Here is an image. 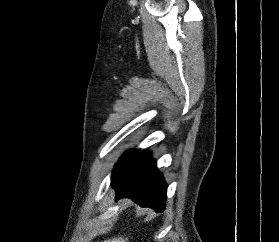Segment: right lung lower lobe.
Segmentation results:
<instances>
[{"label": "right lung lower lobe", "instance_id": "obj_1", "mask_svg": "<svg viewBox=\"0 0 279 242\" xmlns=\"http://www.w3.org/2000/svg\"><path fill=\"white\" fill-rule=\"evenodd\" d=\"M112 185L116 201L127 197L156 212L165 209L167 184L149 152L140 151L125 163L112 175Z\"/></svg>", "mask_w": 279, "mask_h": 242}]
</instances>
